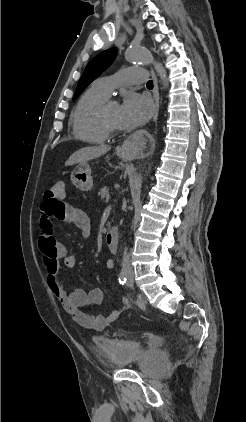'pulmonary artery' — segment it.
<instances>
[{
  "label": "pulmonary artery",
  "mask_w": 246,
  "mask_h": 422,
  "mask_svg": "<svg viewBox=\"0 0 246 422\" xmlns=\"http://www.w3.org/2000/svg\"><path fill=\"white\" fill-rule=\"evenodd\" d=\"M147 73L141 68H125L119 74L110 77H102L94 82V86L109 96L112 91L124 83H144Z\"/></svg>",
  "instance_id": "obj_1"
}]
</instances>
